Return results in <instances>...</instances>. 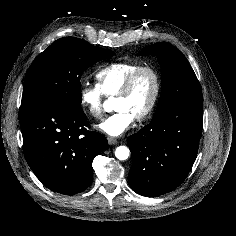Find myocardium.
Returning a JSON list of instances; mask_svg holds the SVG:
<instances>
[{
	"mask_svg": "<svg viewBox=\"0 0 236 236\" xmlns=\"http://www.w3.org/2000/svg\"><path fill=\"white\" fill-rule=\"evenodd\" d=\"M144 72H149L153 76L154 93L148 107L142 113H140L139 115L135 117L136 121H143L147 119L148 117H150L158 105V102L161 96V91H162V80H161V75L159 71L152 65H142L138 67L129 75V77L126 79V81L122 85L121 89L115 95V98H123L127 96L131 92L139 76Z\"/></svg>",
	"mask_w": 236,
	"mask_h": 236,
	"instance_id": "myocardium-1",
	"label": "myocardium"
}]
</instances>
